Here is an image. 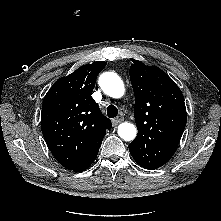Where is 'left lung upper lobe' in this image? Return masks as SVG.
Wrapping results in <instances>:
<instances>
[{
  "label": "left lung upper lobe",
  "mask_w": 221,
  "mask_h": 221,
  "mask_svg": "<svg viewBox=\"0 0 221 221\" xmlns=\"http://www.w3.org/2000/svg\"><path fill=\"white\" fill-rule=\"evenodd\" d=\"M138 135L129 145L134 160L146 169L164 165L175 153L187 113L179 87L159 68L131 59Z\"/></svg>",
  "instance_id": "1"
}]
</instances>
